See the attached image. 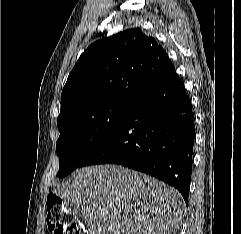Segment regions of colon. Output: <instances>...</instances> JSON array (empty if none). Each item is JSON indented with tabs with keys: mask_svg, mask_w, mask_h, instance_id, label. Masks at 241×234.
<instances>
[{
	"mask_svg": "<svg viewBox=\"0 0 241 234\" xmlns=\"http://www.w3.org/2000/svg\"><path fill=\"white\" fill-rule=\"evenodd\" d=\"M47 224L54 234H86L81 222L57 195H49L47 199Z\"/></svg>",
	"mask_w": 241,
	"mask_h": 234,
	"instance_id": "colon-1",
	"label": "colon"
}]
</instances>
